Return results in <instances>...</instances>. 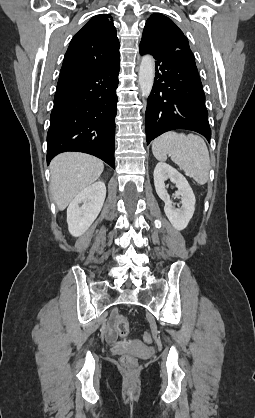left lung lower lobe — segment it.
<instances>
[{"instance_id":"1","label":"left lung lower lobe","mask_w":255,"mask_h":418,"mask_svg":"<svg viewBox=\"0 0 255 418\" xmlns=\"http://www.w3.org/2000/svg\"><path fill=\"white\" fill-rule=\"evenodd\" d=\"M139 51L141 55L149 53L143 48ZM152 55L156 75L145 114L147 144L174 129L192 130L210 141L205 94L193 53Z\"/></svg>"}]
</instances>
